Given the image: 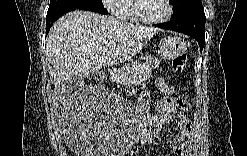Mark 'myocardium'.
<instances>
[{
    "instance_id": "myocardium-1",
    "label": "myocardium",
    "mask_w": 247,
    "mask_h": 156,
    "mask_svg": "<svg viewBox=\"0 0 247 156\" xmlns=\"http://www.w3.org/2000/svg\"><path fill=\"white\" fill-rule=\"evenodd\" d=\"M164 2V5L166 7V13L161 16V17H155V18H151V17H144L142 15L139 14L138 10H137V2L138 1H131L129 3V12L131 17L140 23H144V24H161L164 23L166 21H168L172 15L173 9H172V5L170 3L169 0H162Z\"/></svg>"
}]
</instances>
